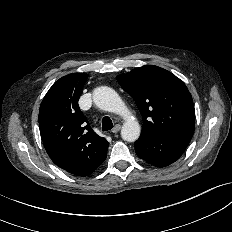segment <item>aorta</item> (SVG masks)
I'll return each mask as SVG.
<instances>
[{
	"instance_id": "1",
	"label": "aorta",
	"mask_w": 232,
	"mask_h": 232,
	"mask_svg": "<svg viewBox=\"0 0 232 232\" xmlns=\"http://www.w3.org/2000/svg\"><path fill=\"white\" fill-rule=\"evenodd\" d=\"M93 101L100 109L119 114L125 119L121 129L123 140L134 142L139 138L140 125L115 90L107 86L97 87L93 91Z\"/></svg>"
}]
</instances>
